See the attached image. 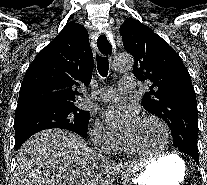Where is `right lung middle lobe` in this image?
Returning a JSON list of instances; mask_svg holds the SVG:
<instances>
[{
	"label": "right lung middle lobe",
	"instance_id": "1",
	"mask_svg": "<svg viewBox=\"0 0 207 185\" xmlns=\"http://www.w3.org/2000/svg\"><path fill=\"white\" fill-rule=\"evenodd\" d=\"M89 118V112L75 107L36 106L17 110L14 123L16 149L33 134L50 128L67 129L85 136Z\"/></svg>",
	"mask_w": 207,
	"mask_h": 185
}]
</instances>
